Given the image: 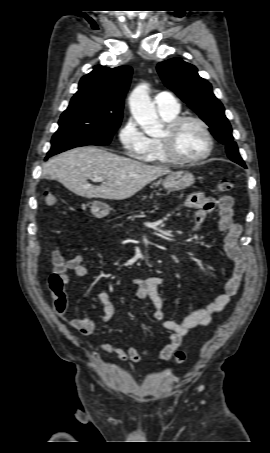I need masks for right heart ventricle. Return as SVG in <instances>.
<instances>
[{
  "label": "right heart ventricle",
  "instance_id": "obj_1",
  "mask_svg": "<svg viewBox=\"0 0 270 453\" xmlns=\"http://www.w3.org/2000/svg\"><path fill=\"white\" fill-rule=\"evenodd\" d=\"M165 122H169L175 118L178 113L174 114H160ZM145 163L153 164H168L172 163L163 153L160 143L157 138H149L148 147L146 151L139 157Z\"/></svg>",
  "mask_w": 270,
  "mask_h": 453
}]
</instances>
